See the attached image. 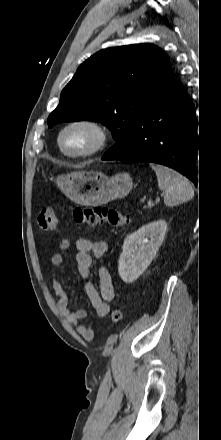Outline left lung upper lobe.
<instances>
[{"instance_id": "left-lung-upper-lobe-1", "label": "left lung upper lobe", "mask_w": 221, "mask_h": 440, "mask_svg": "<svg viewBox=\"0 0 221 440\" xmlns=\"http://www.w3.org/2000/svg\"><path fill=\"white\" fill-rule=\"evenodd\" d=\"M174 78L168 56L152 44L101 50L77 69L61 93L48 125L92 120L107 126L116 141L105 155H119L145 108Z\"/></svg>"}]
</instances>
